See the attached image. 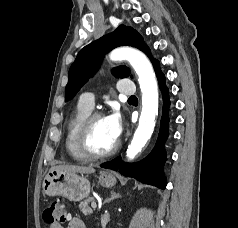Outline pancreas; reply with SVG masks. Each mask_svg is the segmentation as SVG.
<instances>
[{"label":"pancreas","mask_w":238,"mask_h":228,"mask_svg":"<svg viewBox=\"0 0 238 228\" xmlns=\"http://www.w3.org/2000/svg\"><path fill=\"white\" fill-rule=\"evenodd\" d=\"M92 202H94V198L89 197L88 199L79 203V208L85 216L91 215L93 213L92 209L89 207V204Z\"/></svg>","instance_id":"pancreas-1"}]
</instances>
